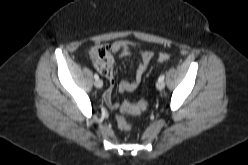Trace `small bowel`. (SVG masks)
<instances>
[{
  "mask_svg": "<svg viewBox=\"0 0 248 165\" xmlns=\"http://www.w3.org/2000/svg\"><path fill=\"white\" fill-rule=\"evenodd\" d=\"M111 48H112V51L116 54H122L126 50L137 52L139 56V65L136 70L135 77L131 81H122L118 83L117 85L118 91L121 93L135 90L139 86L142 80V77L144 76L148 68L150 61L153 58V52L150 50L142 49L139 44L131 43L125 40H118V41L113 42L111 45ZM103 74L106 76L108 80V87L105 91V98L108 101H110L111 96H112V91L116 86L115 75H114L112 68L104 72Z\"/></svg>",
  "mask_w": 248,
  "mask_h": 165,
  "instance_id": "obj_1",
  "label": "small bowel"
}]
</instances>
